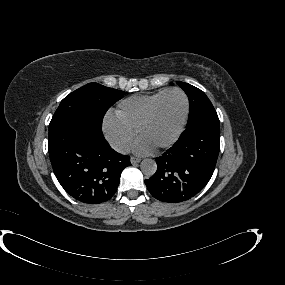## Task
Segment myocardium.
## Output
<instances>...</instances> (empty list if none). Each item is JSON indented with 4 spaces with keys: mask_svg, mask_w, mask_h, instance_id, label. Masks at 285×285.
<instances>
[{
    "mask_svg": "<svg viewBox=\"0 0 285 285\" xmlns=\"http://www.w3.org/2000/svg\"><path fill=\"white\" fill-rule=\"evenodd\" d=\"M171 92H178L180 93L183 98H184V101H185V112H184V115H183V118H182V121L179 125V128L176 132V134L174 135V137L168 141L167 143L165 144H162L160 146L157 147V150H164V149H168L170 147H172L178 140L179 138L181 137L184 129H185V126H186V123H187V120H188V117H189V112H190V101H189V98L187 96V94L185 93V91H183L182 89L180 88H177V87H173V88H168L166 89L161 95L160 97L155 101V103L152 105V107L150 108L147 116L145 117V119L141 122L138 130H137V133L138 135L140 136L141 135V132L143 131V129L151 122V120L153 119L160 103L162 102V100L164 99V97L171 93Z\"/></svg>",
    "mask_w": 285,
    "mask_h": 285,
    "instance_id": "f54148a6",
    "label": "myocardium"
}]
</instances>
